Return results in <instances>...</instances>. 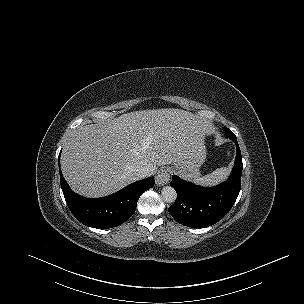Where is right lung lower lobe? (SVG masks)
<instances>
[{"label": "right lung lower lobe", "mask_w": 304, "mask_h": 304, "mask_svg": "<svg viewBox=\"0 0 304 304\" xmlns=\"http://www.w3.org/2000/svg\"><path fill=\"white\" fill-rule=\"evenodd\" d=\"M60 182L66 203L72 214L82 224L97 229L116 227L128 220L135 212L141 194L153 187L155 183L154 178L149 177L132 183L107 197L89 199L75 194L68 186L62 173L60 174Z\"/></svg>", "instance_id": "obj_1"}]
</instances>
